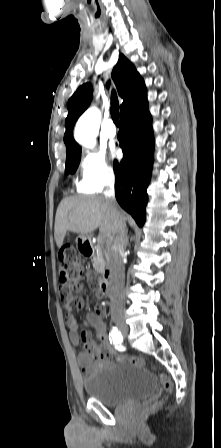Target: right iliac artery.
Segmentation results:
<instances>
[{
    "label": "right iliac artery",
    "instance_id": "right-iliac-artery-1",
    "mask_svg": "<svg viewBox=\"0 0 221 448\" xmlns=\"http://www.w3.org/2000/svg\"><path fill=\"white\" fill-rule=\"evenodd\" d=\"M109 337H110V342L113 344H121L123 341L122 334L116 327H113V330L109 334Z\"/></svg>",
    "mask_w": 221,
    "mask_h": 448
}]
</instances>
